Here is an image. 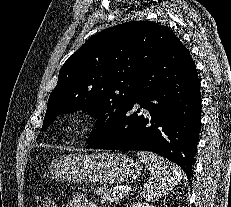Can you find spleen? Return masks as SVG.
Instances as JSON below:
<instances>
[{
    "mask_svg": "<svg viewBox=\"0 0 231 207\" xmlns=\"http://www.w3.org/2000/svg\"><path fill=\"white\" fill-rule=\"evenodd\" d=\"M137 156L152 174L142 192L146 200L156 201L164 197L182 180L183 171L164 158L145 151L137 152Z\"/></svg>",
    "mask_w": 231,
    "mask_h": 207,
    "instance_id": "obj_1",
    "label": "spleen"
}]
</instances>
